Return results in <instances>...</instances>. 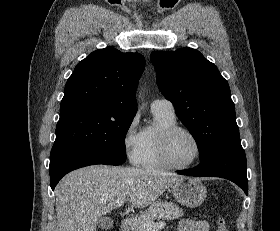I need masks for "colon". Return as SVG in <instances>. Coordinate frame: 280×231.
I'll return each mask as SVG.
<instances>
[{"mask_svg": "<svg viewBox=\"0 0 280 231\" xmlns=\"http://www.w3.org/2000/svg\"><path fill=\"white\" fill-rule=\"evenodd\" d=\"M218 231H228L227 225L223 218H219L218 220Z\"/></svg>", "mask_w": 280, "mask_h": 231, "instance_id": "5ec220e1", "label": "colon"}]
</instances>
